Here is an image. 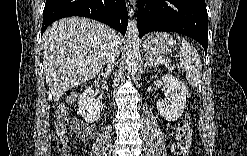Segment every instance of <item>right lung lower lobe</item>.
<instances>
[{
  "instance_id": "obj_1",
  "label": "right lung lower lobe",
  "mask_w": 247,
  "mask_h": 156,
  "mask_svg": "<svg viewBox=\"0 0 247 156\" xmlns=\"http://www.w3.org/2000/svg\"><path fill=\"white\" fill-rule=\"evenodd\" d=\"M69 16L98 20L119 31L123 36L127 30L128 13L125 0H47L41 34L54 21Z\"/></svg>"
}]
</instances>
